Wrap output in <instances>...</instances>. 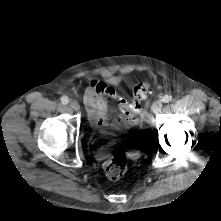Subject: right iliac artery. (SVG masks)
<instances>
[{"label": "right iliac artery", "instance_id": "right-iliac-artery-1", "mask_svg": "<svg viewBox=\"0 0 221 221\" xmlns=\"http://www.w3.org/2000/svg\"><path fill=\"white\" fill-rule=\"evenodd\" d=\"M61 102H62L63 104H68L69 98H68L67 96H62V97H61Z\"/></svg>", "mask_w": 221, "mask_h": 221}]
</instances>
